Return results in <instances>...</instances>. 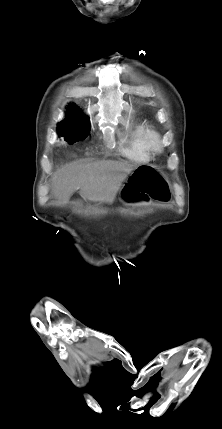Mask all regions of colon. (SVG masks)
<instances>
[{
    "mask_svg": "<svg viewBox=\"0 0 222 429\" xmlns=\"http://www.w3.org/2000/svg\"><path fill=\"white\" fill-rule=\"evenodd\" d=\"M123 195L128 201H168L170 191L163 175L156 168L140 165L131 174L123 189Z\"/></svg>",
    "mask_w": 222,
    "mask_h": 429,
    "instance_id": "colon-1",
    "label": "colon"
}]
</instances>
